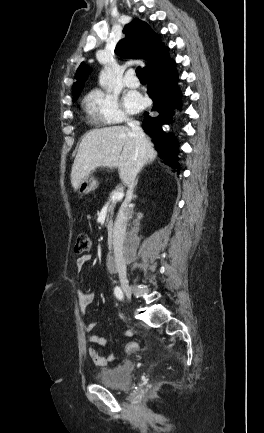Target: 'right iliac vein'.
I'll return each instance as SVG.
<instances>
[{"mask_svg":"<svg viewBox=\"0 0 264 433\" xmlns=\"http://www.w3.org/2000/svg\"><path fill=\"white\" fill-rule=\"evenodd\" d=\"M120 284L122 287V290L124 291L126 297L130 300L132 296L131 287L129 286L128 280L124 277L120 278Z\"/></svg>","mask_w":264,"mask_h":433,"instance_id":"63e3f726","label":"right iliac vein"}]
</instances>
